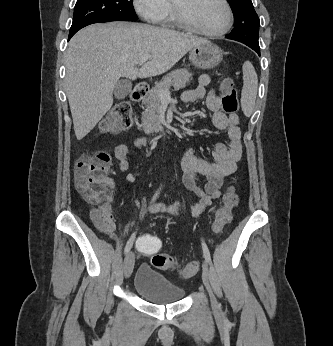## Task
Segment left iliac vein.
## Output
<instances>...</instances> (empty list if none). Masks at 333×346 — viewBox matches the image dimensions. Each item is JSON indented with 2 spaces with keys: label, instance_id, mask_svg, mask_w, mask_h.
<instances>
[{
  "label": "left iliac vein",
  "instance_id": "4c4485c4",
  "mask_svg": "<svg viewBox=\"0 0 333 346\" xmlns=\"http://www.w3.org/2000/svg\"><path fill=\"white\" fill-rule=\"evenodd\" d=\"M209 277H210V269L208 267V264L204 261L202 264L203 282H204V284H205V286L209 292L212 309L216 314H219L220 313V305H219V303H218V301H217V299H216V297L212 291V288L210 286Z\"/></svg>",
  "mask_w": 333,
  "mask_h": 346
}]
</instances>
